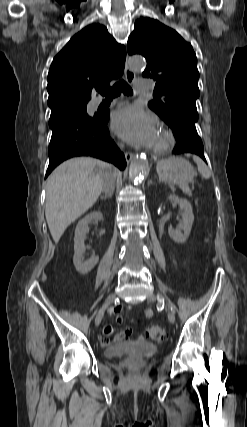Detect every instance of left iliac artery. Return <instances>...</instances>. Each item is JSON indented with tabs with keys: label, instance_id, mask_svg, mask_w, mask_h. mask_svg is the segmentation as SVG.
<instances>
[{
	"label": "left iliac artery",
	"instance_id": "1",
	"mask_svg": "<svg viewBox=\"0 0 247 427\" xmlns=\"http://www.w3.org/2000/svg\"><path fill=\"white\" fill-rule=\"evenodd\" d=\"M169 305H170V307H171V310L174 312V311H175L174 306H173L171 303H169Z\"/></svg>",
	"mask_w": 247,
	"mask_h": 427
}]
</instances>
